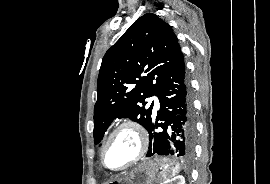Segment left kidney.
<instances>
[{"label": "left kidney", "instance_id": "1", "mask_svg": "<svg viewBox=\"0 0 270 184\" xmlns=\"http://www.w3.org/2000/svg\"><path fill=\"white\" fill-rule=\"evenodd\" d=\"M163 184H185V179L183 176H177V177H174L173 179L167 180Z\"/></svg>", "mask_w": 270, "mask_h": 184}]
</instances>
